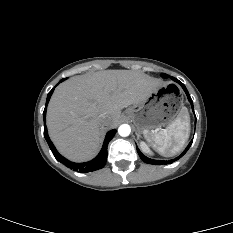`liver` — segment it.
<instances>
[{"label":"liver","mask_w":233,"mask_h":233,"mask_svg":"<svg viewBox=\"0 0 233 233\" xmlns=\"http://www.w3.org/2000/svg\"><path fill=\"white\" fill-rule=\"evenodd\" d=\"M159 80L132 70H105L75 76L54 91L47 109V127L58 151L75 162L91 160L102 132L117 126L121 110L154 92ZM108 120L101 125L100 118Z\"/></svg>","instance_id":"liver-1"}]
</instances>
